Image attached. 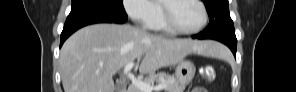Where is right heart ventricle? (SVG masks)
<instances>
[{
  "label": "right heart ventricle",
  "instance_id": "e07e8e85",
  "mask_svg": "<svg viewBox=\"0 0 296 92\" xmlns=\"http://www.w3.org/2000/svg\"><path fill=\"white\" fill-rule=\"evenodd\" d=\"M157 7H158V13L156 18L153 22H151L147 27L151 30L160 31L164 33H170L171 31L166 27L164 21H163V10H162V2L158 1Z\"/></svg>",
  "mask_w": 296,
  "mask_h": 92
}]
</instances>
